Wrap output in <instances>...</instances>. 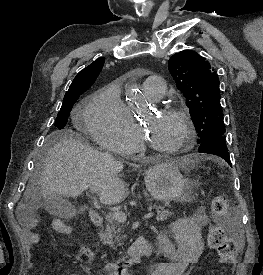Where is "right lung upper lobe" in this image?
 <instances>
[{"mask_svg": "<svg viewBox=\"0 0 263 275\" xmlns=\"http://www.w3.org/2000/svg\"><path fill=\"white\" fill-rule=\"evenodd\" d=\"M104 62V57L98 58L89 66L85 67L82 71H80L71 83L67 93H71L82 89H89L98 77L104 65Z\"/></svg>", "mask_w": 263, "mask_h": 275, "instance_id": "obj_1", "label": "right lung upper lobe"}]
</instances>
